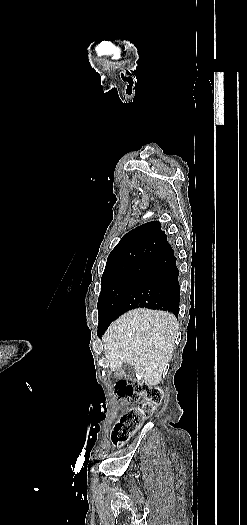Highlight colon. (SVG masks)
Masks as SVG:
<instances>
[{
    "label": "colon",
    "mask_w": 247,
    "mask_h": 525,
    "mask_svg": "<svg viewBox=\"0 0 247 525\" xmlns=\"http://www.w3.org/2000/svg\"><path fill=\"white\" fill-rule=\"evenodd\" d=\"M115 395L120 400L140 401L136 406L125 411L115 426L111 441L116 446L126 442L140 424L151 417L162 399L163 392L145 381L122 379L116 383Z\"/></svg>",
    "instance_id": "5ec220e1"
}]
</instances>
